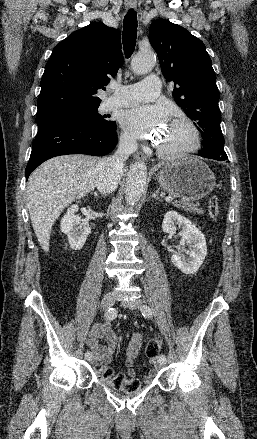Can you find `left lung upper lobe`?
Here are the masks:
<instances>
[{"mask_svg":"<svg viewBox=\"0 0 257 439\" xmlns=\"http://www.w3.org/2000/svg\"><path fill=\"white\" fill-rule=\"evenodd\" d=\"M149 40L164 77L176 84L172 93L176 103L202 134L204 149L199 155L211 159L227 156L220 127L216 75L204 43L164 19L151 23Z\"/></svg>","mask_w":257,"mask_h":439,"instance_id":"5c2ea615","label":"left lung upper lobe"}]
</instances>
